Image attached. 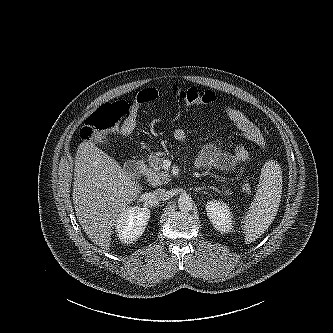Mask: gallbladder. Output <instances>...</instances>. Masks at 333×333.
I'll return each mask as SVG.
<instances>
[{
	"mask_svg": "<svg viewBox=\"0 0 333 333\" xmlns=\"http://www.w3.org/2000/svg\"><path fill=\"white\" fill-rule=\"evenodd\" d=\"M101 142H102V143H107V142H108V138H107V137H103V138L101 139Z\"/></svg>",
	"mask_w": 333,
	"mask_h": 333,
	"instance_id": "gallbladder-1",
	"label": "gallbladder"
}]
</instances>
